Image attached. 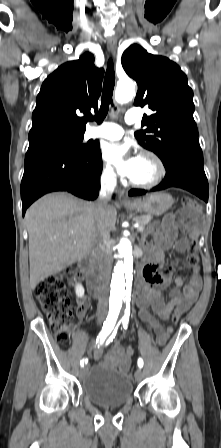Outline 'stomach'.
<instances>
[{"instance_id": "stomach-1", "label": "stomach", "mask_w": 221, "mask_h": 448, "mask_svg": "<svg viewBox=\"0 0 221 448\" xmlns=\"http://www.w3.org/2000/svg\"><path fill=\"white\" fill-rule=\"evenodd\" d=\"M172 196L165 192H158L136 199L126 205L127 209L136 212H144L149 216H159L165 213L173 204Z\"/></svg>"}]
</instances>
